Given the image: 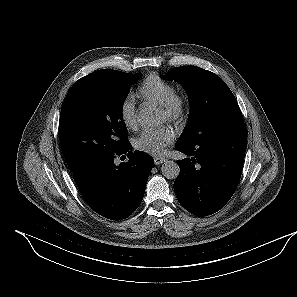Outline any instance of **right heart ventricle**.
Segmentation results:
<instances>
[{"label": "right heart ventricle", "instance_id": "obj_1", "mask_svg": "<svg viewBox=\"0 0 297 297\" xmlns=\"http://www.w3.org/2000/svg\"><path fill=\"white\" fill-rule=\"evenodd\" d=\"M176 93L174 86L158 75H148L137 87L136 94L143 102L164 104Z\"/></svg>", "mask_w": 297, "mask_h": 297}]
</instances>
